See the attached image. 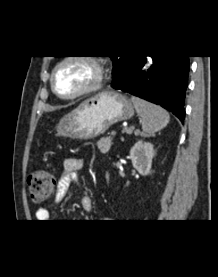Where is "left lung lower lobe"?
<instances>
[{
  "instance_id": "left-lung-lower-lobe-1",
  "label": "left lung lower lobe",
  "mask_w": 218,
  "mask_h": 277,
  "mask_svg": "<svg viewBox=\"0 0 218 277\" xmlns=\"http://www.w3.org/2000/svg\"><path fill=\"white\" fill-rule=\"evenodd\" d=\"M189 66V56L134 55L111 87L160 105L183 121Z\"/></svg>"
}]
</instances>
